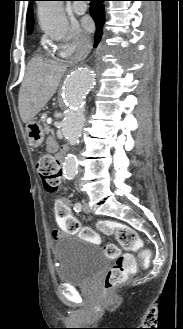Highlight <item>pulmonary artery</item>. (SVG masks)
Listing matches in <instances>:
<instances>
[{"instance_id":"e3ab8cb5","label":"pulmonary artery","mask_w":183,"mask_h":329,"mask_svg":"<svg viewBox=\"0 0 183 329\" xmlns=\"http://www.w3.org/2000/svg\"><path fill=\"white\" fill-rule=\"evenodd\" d=\"M72 9L76 15H82L87 11V5L85 3L78 2L73 5Z\"/></svg>"}]
</instances>
